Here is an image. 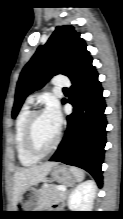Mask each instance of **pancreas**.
I'll return each mask as SVG.
<instances>
[{"mask_svg": "<svg viewBox=\"0 0 123 219\" xmlns=\"http://www.w3.org/2000/svg\"><path fill=\"white\" fill-rule=\"evenodd\" d=\"M56 185L44 186L40 190V201L39 208L46 209L50 208L52 205L64 201L65 192L60 191Z\"/></svg>", "mask_w": 123, "mask_h": 219, "instance_id": "cf45deb5", "label": "pancreas"}]
</instances>
